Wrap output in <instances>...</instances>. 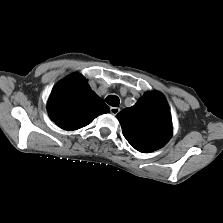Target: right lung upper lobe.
I'll return each instance as SVG.
<instances>
[{
	"mask_svg": "<svg viewBox=\"0 0 223 223\" xmlns=\"http://www.w3.org/2000/svg\"><path fill=\"white\" fill-rule=\"evenodd\" d=\"M47 107L51 119L65 130L82 128L98 115L109 112L81 75L60 81L52 90Z\"/></svg>",
	"mask_w": 223,
	"mask_h": 223,
	"instance_id": "right-lung-upper-lobe-1",
	"label": "right lung upper lobe"
}]
</instances>
